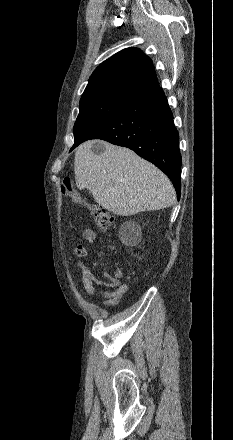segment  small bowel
Listing matches in <instances>:
<instances>
[{
    "label": "small bowel",
    "instance_id": "c3829d8e",
    "mask_svg": "<svg viewBox=\"0 0 233 440\" xmlns=\"http://www.w3.org/2000/svg\"><path fill=\"white\" fill-rule=\"evenodd\" d=\"M84 243H79L74 248V253L77 257H85L88 254V246L96 239V233L91 229H85L82 233ZM78 268L81 274V282L84 289L90 295L104 298L102 302L105 306H113L120 302L122 297L127 293L128 286L120 282L106 283L97 279L91 270L84 264L78 263ZM97 286L111 287L112 290H101Z\"/></svg>",
    "mask_w": 233,
    "mask_h": 440
}]
</instances>
